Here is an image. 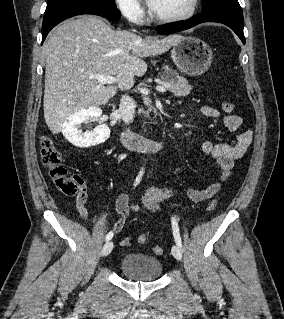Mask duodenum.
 I'll list each match as a JSON object with an SVG mask.
<instances>
[{
  "instance_id": "duodenum-1",
  "label": "duodenum",
  "mask_w": 284,
  "mask_h": 319,
  "mask_svg": "<svg viewBox=\"0 0 284 319\" xmlns=\"http://www.w3.org/2000/svg\"><path fill=\"white\" fill-rule=\"evenodd\" d=\"M121 141L124 146L131 149H140L144 151H160L166 147L165 141H156L144 137L130 129H125L121 134Z\"/></svg>"
}]
</instances>
